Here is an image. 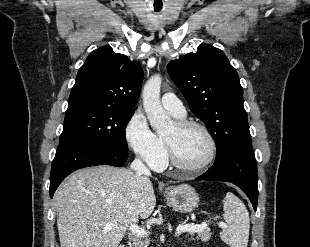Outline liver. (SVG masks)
Masks as SVG:
<instances>
[{
    "mask_svg": "<svg viewBox=\"0 0 310 247\" xmlns=\"http://www.w3.org/2000/svg\"><path fill=\"white\" fill-rule=\"evenodd\" d=\"M53 200L61 247H118L126 229L148 218L156 205L147 175L105 165L69 176Z\"/></svg>",
    "mask_w": 310,
    "mask_h": 247,
    "instance_id": "1",
    "label": "liver"
}]
</instances>
